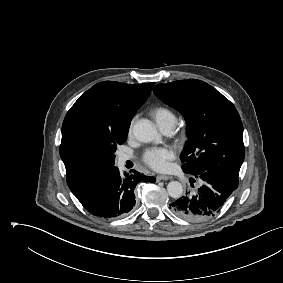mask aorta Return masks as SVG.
<instances>
[{"mask_svg": "<svg viewBox=\"0 0 283 283\" xmlns=\"http://www.w3.org/2000/svg\"><path fill=\"white\" fill-rule=\"evenodd\" d=\"M133 134L138 141L144 143L160 140L155 126L147 119H141L134 124ZM167 191L172 198H180L183 193V186L178 181H171L167 185Z\"/></svg>", "mask_w": 283, "mask_h": 283, "instance_id": "obj_1", "label": "aorta"}]
</instances>
